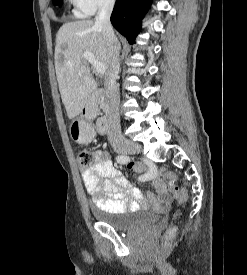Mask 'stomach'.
I'll return each mask as SVG.
<instances>
[{"label": "stomach", "instance_id": "stomach-1", "mask_svg": "<svg viewBox=\"0 0 247 275\" xmlns=\"http://www.w3.org/2000/svg\"><path fill=\"white\" fill-rule=\"evenodd\" d=\"M70 136L75 142L83 144L93 138L94 132L90 125L83 121L76 120L73 121L70 126Z\"/></svg>", "mask_w": 247, "mask_h": 275}]
</instances>
